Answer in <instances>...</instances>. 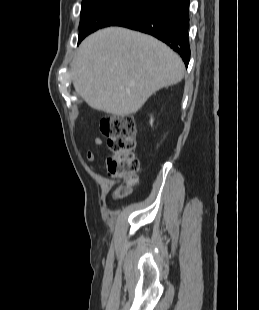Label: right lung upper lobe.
Wrapping results in <instances>:
<instances>
[{
    "label": "right lung upper lobe",
    "instance_id": "1",
    "mask_svg": "<svg viewBox=\"0 0 259 310\" xmlns=\"http://www.w3.org/2000/svg\"><path fill=\"white\" fill-rule=\"evenodd\" d=\"M103 1H106V0H83L82 8H87V7L99 4V3L103 2Z\"/></svg>",
    "mask_w": 259,
    "mask_h": 310
}]
</instances>
